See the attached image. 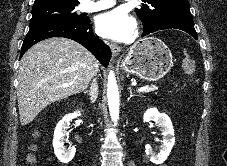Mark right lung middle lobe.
Instances as JSON below:
<instances>
[{
  "label": "right lung middle lobe",
  "instance_id": "dd1d6c3e",
  "mask_svg": "<svg viewBox=\"0 0 227 166\" xmlns=\"http://www.w3.org/2000/svg\"><path fill=\"white\" fill-rule=\"evenodd\" d=\"M77 5L78 4L70 3H44L33 5L30 27L56 20L82 22L86 18L82 17V15H78L74 11Z\"/></svg>",
  "mask_w": 227,
  "mask_h": 166
}]
</instances>
